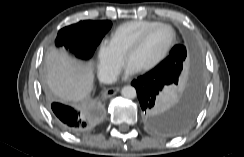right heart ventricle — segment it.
<instances>
[{"mask_svg": "<svg viewBox=\"0 0 244 157\" xmlns=\"http://www.w3.org/2000/svg\"><path fill=\"white\" fill-rule=\"evenodd\" d=\"M160 23L153 20H132L119 25L111 35V43L124 55L129 46L149 27Z\"/></svg>", "mask_w": 244, "mask_h": 157, "instance_id": "e07e8e85", "label": "right heart ventricle"}]
</instances>
